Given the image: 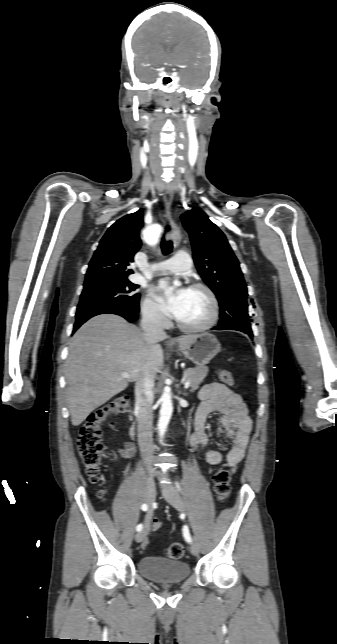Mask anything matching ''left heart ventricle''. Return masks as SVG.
<instances>
[{
  "mask_svg": "<svg viewBox=\"0 0 337 644\" xmlns=\"http://www.w3.org/2000/svg\"><path fill=\"white\" fill-rule=\"evenodd\" d=\"M210 312L211 306L206 294L202 291L189 289L176 318L185 325L198 326L208 320Z\"/></svg>",
  "mask_w": 337,
  "mask_h": 644,
  "instance_id": "b2bd125f",
  "label": "left heart ventricle"
}]
</instances>
